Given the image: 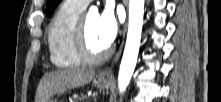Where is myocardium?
<instances>
[{
  "instance_id": "1",
  "label": "myocardium",
  "mask_w": 221,
  "mask_h": 102,
  "mask_svg": "<svg viewBox=\"0 0 221 102\" xmlns=\"http://www.w3.org/2000/svg\"><path fill=\"white\" fill-rule=\"evenodd\" d=\"M75 47L80 59L87 64H99L103 62L111 53V48L108 46L99 53H93L88 45L85 16H80L76 32H75Z\"/></svg>"
}]
</instances>
